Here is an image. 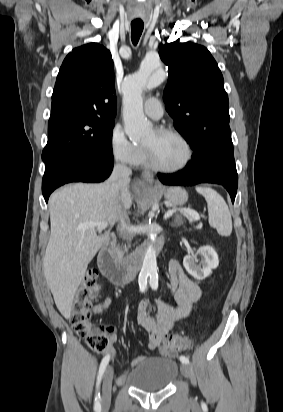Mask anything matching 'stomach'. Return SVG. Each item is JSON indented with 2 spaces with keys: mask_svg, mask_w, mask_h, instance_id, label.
<instances>
[{
  "mask_svg": "<svg viewBox=\"0 0 283 412\" xmlns=\"http://www.w3.org/2000/svg\"><path fill=\"white\" fill-rule=\"evenodd\" d=\"M163 194L165 199L174 205H183L188 200V193L181 187H169Z\"/></svg>",
  "mask_w": 283,
  "mask_h": 412,
  "instance_id": "0dacf381",
  "label": "stomach"
}]
</instances>
